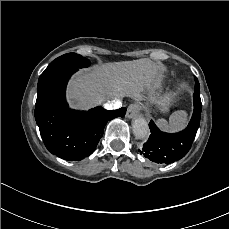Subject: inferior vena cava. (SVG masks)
Segmentation results:
<instances>
[{
  "mask_svg": "<svg viewBox=\"0 0 229 229\" xmlns=\"http://www.w3.org/2000/svg\"><path fill=\"white\" fill-rule=\"evenodd\" d=\"M118 104V101H107L105 104H104V108L107 109V110H112L116 107V105Z\"/></svg>",
  "mask_w": 229,
  "mask_h": 229,
  "instance_id": "obj_1",
  "label": "inferior vena cava"
}]
</instances>
